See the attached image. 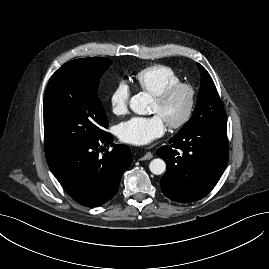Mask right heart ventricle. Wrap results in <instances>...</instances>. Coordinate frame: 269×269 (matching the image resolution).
I'll use <instances>...</instances> for the list:
<instances>
[{"label":"right heart ventricle","instance_id":"right-heart-ventricle-1","mask_svg":"<svg viewBox=\"0 0 269 269\" xmlns=\"http://www.w3.org/2000/svg\"><path fill=\"white\" fill-rule=\"evenodd\" d=\"M181 82L177 72L166 65H151L138 71L134 76V84L141 91L155 95L165 87Z\"/></svg>","mask_w":269,"mask_h":269}]
</instances>
